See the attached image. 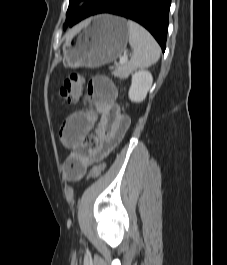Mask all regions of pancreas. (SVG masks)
Here are the masks:
<instances>
[{
	"label": "pancreas",
	"instance_id": "pancreas-1",
	"mask_svg": "<svg viewBox=\"0 0 227 265\" xmlns=\"http://www.w3.org/2000/svg\"><path fill=\"white\" fill-rule=\"evenodd\" d=\"M131 71L132 69L129 66V64L125 63L121 66H118L116 70L113 72V74L119 77L120 79H126L130 75Z\"/></svg>",
	"mask_w": 227,
	"mask_h": 265
}]
</instances>
